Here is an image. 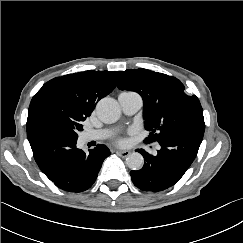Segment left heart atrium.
<instances>
[{
    "instance_id": "1",
    "label": "left heart atrium",
    "mask_w": 243,
    "mask_h": 243,
    "mask_svg": "<svg viewBox=\"0 0 243 243\" xmlns=\"http://www.w3.org/2000/svg\"><path fill=\"white\" fill-rule=\"evenodd\" d=\"M117 143H118V144H123L124 141H123L122 139H117Z\"/></svg>"
}]
</instances>
